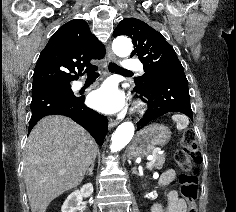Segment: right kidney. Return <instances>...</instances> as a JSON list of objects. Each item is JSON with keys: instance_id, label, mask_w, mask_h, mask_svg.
Segmentation results:
<instances>
[{"instance_id": "right-kidney-1", "label": "right kidney", "mask_w": 236, "mask_h": 212, "mask_svg": "<svg viewBox=\"0 0 236 212\" xmlns=\"http://www.w3.org/2000/svg\"><path fill=\"white\" fill-rule=\"evenodd\" d=\"M93 193V185L87 183L80 190L72 192L64 201L61 212H77L81 211V203L83 197H90Z\"/></svg>"}]
</instances>
